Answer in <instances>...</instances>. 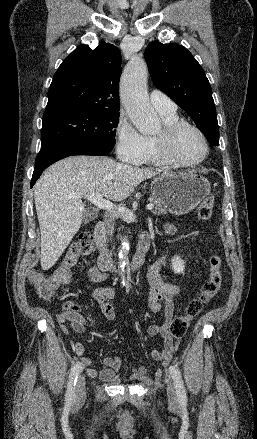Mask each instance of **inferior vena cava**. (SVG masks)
Masks as SVG:
<instances>
[{
    "mask_svg": "<svg viewBox=\"0 0 257 439\" xmlns=\"http://www.w3.org/2000/svg\"><path fill=\"white\" fill-rule=\"evenodd\" d=\"M105 222H106L107 228H108V235L112 236L113 230H114V227L112 225V220L111 219H106Z\"/></svg>",
    "mask_w": 257,
    "mask_h": 439,
    "instance_id": "1",
    "label": "inferior vena cava"
}]
</instances>
